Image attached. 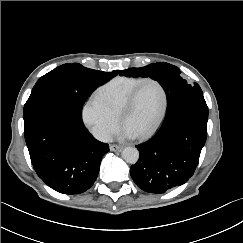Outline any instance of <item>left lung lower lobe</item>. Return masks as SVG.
<instances>
[{"label":"left lung lower lobe","instance_id":"1","mask_svg":"<svg viewBox=\"0 0 243 243\" xmlns=\"http://www.w3.org/2000/svg\"><path fill=\"white\" fill-rule=\"evenodd\" d=\"M208 107L203 94L191 96L166 112L159 131L136 148L139 160L130 174L148 193H165L194 173L207 138Z\"/></svg>","mask_w":243,"mask_h":243}]
</instances>
